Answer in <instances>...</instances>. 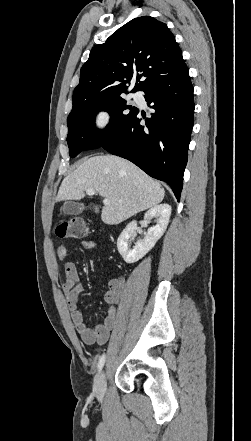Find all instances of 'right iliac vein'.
<instances>
[{"label":"right iliac vein","mask_w":251,"mask_h":441,"mask_svg":"<svg viewBox=\"0 0 251 441\" xmlns=\"http://www.w3.org/2000/svg\"><path fill=\"white\" fill-rule=\"evenodd\" d=\"M93 390L99 399L103 398L106 390V373L104 370L100 371L95 378Z\"/></svg>","instance_id":"right-iliac-vein-1"}]
</instances>
